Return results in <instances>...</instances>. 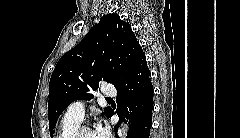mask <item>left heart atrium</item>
I'll use <instances>...</instances> for the list:
<instances>
[{
    "mask_svg": "<svg viewBox=\"0 0 240 138\" xmlns=\"http://www.w3.org/2000/svg\"><path fill=\"white\" fill-rule=\"evenodd\" d=\"M93 132L96 138H107V136L109 135L108 128L101 122L96 124L95 128L93 129Z\"/></svg>",
    "mask_w": 240,
    "mask_h": 138,
    "instance_id": "left-heart-atrium-1",
    "label": "left heart atrium"
}]
</instances>
